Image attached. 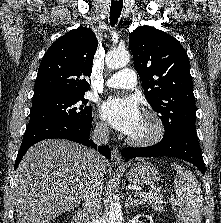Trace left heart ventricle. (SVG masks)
<instances>
[{
  "mask_svg": "<svg viewBox=\"0 0 221 223\" xmlns=\"http://www.w3.org/2000/svg\"><path fill=\"white\" fill-rule=\"evenodd\" d=\"M153 130V124L150 120L142 117L137 129L130 135V137H143L150 134Z\"/></svg>",
  "mask_w": 221,
  "mask_h": 223,
  "instance_id": "left-heart-ventricle-1",
  "label": "left heart ventricle"
}]
</instances>
